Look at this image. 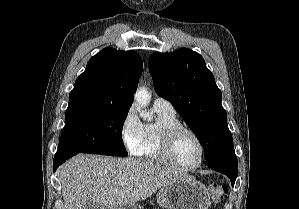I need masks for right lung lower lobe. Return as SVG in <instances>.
Returning <instances> with one entry per match:
<instances>
[{
  "label": "right lung lower lobe",
  "mask_w": 299,
  "mask_h": 209,
  "mask_svg": "<svg viewBox=\"0 0 299 209\" xmlns=\"http://www.w3.org/2000/svg\"><path fill=\"white\" fill-rule=\"evenodd\" d=\"M80 152L76 151H67V150H58L57 153L54 156V161H53V171H56L59 165H61L63 162H65L67 159L70 157L78 154Z\"/></svg>",
  "instance_id": "obj_1"
}]
</instances>
